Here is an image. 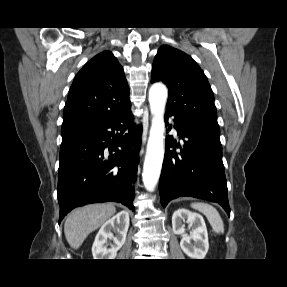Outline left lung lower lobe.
Here are the masks:
<instances>
[{"mask_svg":"<svg viewBox=\"0 0 287 287\" xmlns=\"http://www.w3.org/2000/svg\"><path fill=\"white\" fill-rule=\"evenodd\" d=\"M174 116L180 143L166 138V151L159 181L161 204L190 196L219 203L230 216L227 181L222 162V146L166 111L165 121ZM179 148L180 152L170 150Z\"/></svg>","mask_w":287,"mask_h":287,"instance_id":"1","label":"left lung lower lobe"}]
</instances>
